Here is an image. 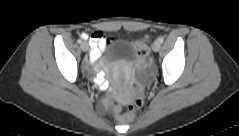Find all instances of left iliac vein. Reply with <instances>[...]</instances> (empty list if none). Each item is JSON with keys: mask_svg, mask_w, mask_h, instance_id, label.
Listing matches in <instances>:
<instances>
[{"mask_svg": "<svg viewBox=\"0 0 239 136\" xmlns=\"http://www.w3.org/2000/svg\"><path fill=\"white\" fill-rule=\"evenodd\" d=\"M161 44L159 41H155L152 45V49L154 52H158L160 50Z\"/></svg>", "mask_w": 239, "mask_h": 136, "instance_id": "obj_1", "label": "left iliac vein"}]
</instances>
